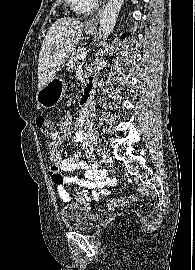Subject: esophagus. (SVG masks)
Masks as SVG:
<instances>
[{
	"label": "esophagus",
	"instance_id": "esophagus-1",
	"mask_svg": "<svg viewBox=\"0 0 195 270\" xmlns=\"http://www.w3.org/2000/svg\"><path fill=\"white\" fill-rule=\"evenodd\" d=\"M101 14H102V9H100L98 13L86 23V28L96 29L98 21L101 17Z\"/></svg>",
	"mask_w": 195,
	"mask_h": 270
}]
</instances>
